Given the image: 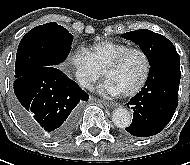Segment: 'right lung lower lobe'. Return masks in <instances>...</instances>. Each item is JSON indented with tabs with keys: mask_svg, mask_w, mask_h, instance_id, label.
Returning <instances> with one entry per match:
<instances>
[{
	"mask_svg": "<svg viewBox=\"0 0 190 165\" xmlns=\"http://www.w3.org/2000/svg\"><path fill=\"white\" fill-rule=\"evenodd\" d=\"M14 110L22 125L44 140L67 137L75 128L78 104L88 94L53 66L34 69L14 81Z\"/></svg>",
	"mask_w": 190,
	"mask_h": 165,
	"instance_id": "right-lung-lower-lobe-1",
	"label": "right lung lower lobe"
}]
</instances>
